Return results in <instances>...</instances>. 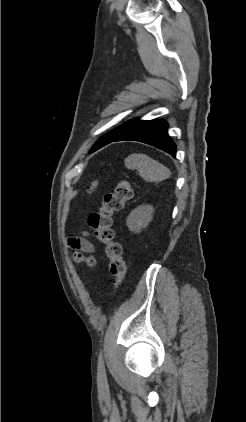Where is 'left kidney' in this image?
Instances as JSON below:
<instances>
[{
    "instance_id": "1",
    "label": "left kidney",
    "mask_w": 246,
    "mask_h": 422,
    "mask_svg": "<svg viewBox=\"0 0 246 422\" xmlns=\"http://www.w3.org/2000/svg\"><path fill=\"white\" fill-rule=\"evenodd\" d=\"M153 206L141 205L134 209L127 217L126 224L130 231L139 233L152 220Z\"/></svg>"
}]
</instances>
